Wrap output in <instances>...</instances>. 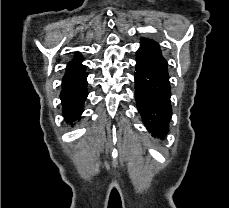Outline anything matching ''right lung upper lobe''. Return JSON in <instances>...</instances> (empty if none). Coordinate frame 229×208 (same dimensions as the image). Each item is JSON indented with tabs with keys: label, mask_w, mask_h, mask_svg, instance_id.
I'll return each instance as SVG.
<instances>
[{
	"label": "right lung upper lobe",
	"mask_w": 229,
	"mask_h": 208,
	"mask_svg": "<svg viewBox=\"0 0 229 208\" xmlns=\"http://www.w3.org/2000/svg\"><path fill=\"white\" fill-rule=\"evenodd\" d=\"M82 60L83 59L80 57L79 54L75 55L74 60L71 61L67 66L66 73L63 80L76 76L85 69L84 66L80 64Z\"/></svg>",
	"instance_id": "right-lung-upper-lobe-1"
}]
</instances>
